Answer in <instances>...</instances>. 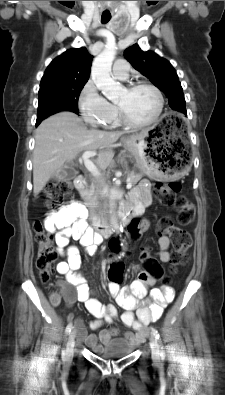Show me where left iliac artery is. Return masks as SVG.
I'll use <instances>...</instances> for the list:
<instances>
[{
  "instance_id": "obj_1",
  "label": "left iliac artery",
  "mask_w": 225,
  "mask_h": 395,
  "mask_svg": "<svg viewBox=\"0 0 225 395\" xmlns=\"http://www.w3.org/2000/svg\"><path fill=\"white\" fill-rule=\"evenodd\" d=\"M152 334L155 336L156 340L161 343V338L158 331L155 328H151ZM161 356H164V352L162 351Z\"/></svg>"
}]
</instances>
